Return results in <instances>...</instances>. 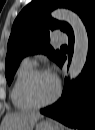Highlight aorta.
<instances>
[{
  "label": "aorta",
  "mask_w": 95,
  "mask_h": 130,
  "mask_svg": "<svg viewBox=\"0 0 95 130\" xmlns=\"http://www.w3.org/2000/svg\"><path fill=\"white\" fill-rule=\"evenodd\" d=\"M51 16L57 20L67 22L73 29L74 33V52L69 67L70 80L77 78L82 72L89 50V40L86 27L81 18L71 10L56 9Z\"/></svg>",
  "instance_id": "762f6f07"
}]
</instances>
